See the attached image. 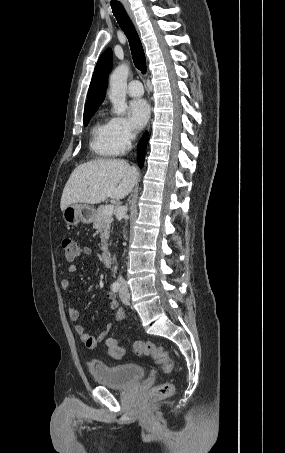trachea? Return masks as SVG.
Here are the masks:
<instances>
[{
	"label": "trachea",
	"mask_w": 285,
	"mask_h": 453,
	"mask_svg": "<svg viewBox=\"0 0 285 453\" xmlns=\"http://www.w3.org/2000/svg\"><path fill=\"white\" fill-rule=\"evenodd\" d=\"M111 8L119 26L128 38L135 67L143 74L146 73V57L138 33L127 15L123 5L115 0L111 1Z\"/></svg>",
	"instance_id": "trachea-1"
}]
</instances>
